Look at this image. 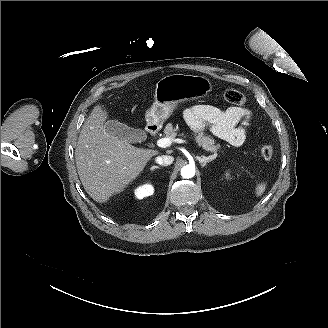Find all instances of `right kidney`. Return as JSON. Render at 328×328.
<instances>
[{"mask_svg": "<svg viewBox=\"0 0 328 328\" xmlns=\"http://www.w3.org/2000/svg\"><path fill=\"white\" fill-rule=\"evenodd\" d=\"M153 193L154 187L151 184L141 185L134 190L137 199H143L144 197L151 196Z\"/></svg>", "mask_w": 328, "mask_h": 328, "instance_id": "right-kidney-1", "label": "right kidney"}]
</instances>
